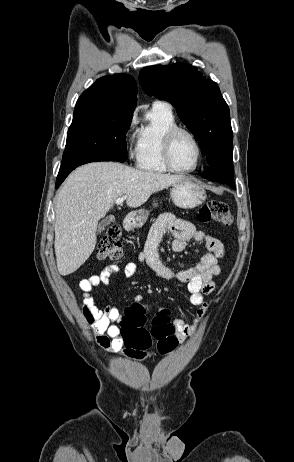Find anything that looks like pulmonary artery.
Segmentation results:
<instances>
[{"label":"pulmonary artery","instance_id":"e3ab8cb5","mask_svg":"<svg viewBox=\"0 0 294 462\" xmlns=\"http://www.w3.org/2000/svg\"><path fill=\"white\" fill-rule=\"evenodd\" d=\"M156 103H161V102H156ZM163 104H166V103H163ZM166 105H168V104H166ZM168 106H169V105H168ZM169 107H170V106H169ZM170 108H171V107H170Z\"/></svg>","mask_w":294,"mask_h":462}]
</instances>
